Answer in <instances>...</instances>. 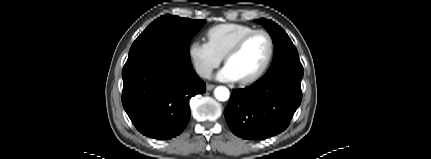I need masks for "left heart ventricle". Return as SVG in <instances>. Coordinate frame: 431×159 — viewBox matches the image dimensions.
<instances>
[{"label":"left heart ventricle","mask_w":431,"mask_h":159,"mask_svg":"<svg viewBox=\"0 0 431 159\" xmlns=\"http://www.w3.org/2000/svg\"><path fill=\"white\" fill-rule=\"evenodd\" d=\"M269 53V41L264 34L251 37L243 49L226 63L238 79L255 73L265 62Z\"/></svg>","instance_id":"1"}]
</instances>
